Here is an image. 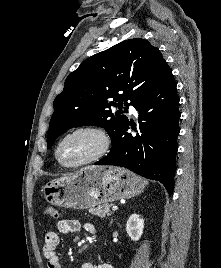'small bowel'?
I'll return each instance as SVG.
<instances>
[{
  "label": "small bowel",
  "mask_w": 221,
  "mask_h": 268,
  "mask_svg": "<svg viewBox=\"0 0 221 268\" xmlns=\"http://www.w3.org/2000/svg\"><path fill=\"white\" fill-rule=\"evenodd\" d=\"M57 231L50 230L46 232L44 237L43 255L47 260V268H62L60 264V257L58 253L59 233H73L81 228L78 220L61 219L56 224ZM83 228L90 234H96V226L92 223L84 224ZM81 268H114L112 265L102 262L98 264L83 263Z\"/></svg>",
  "instance_id": "obj_1"
}]
</instances>
